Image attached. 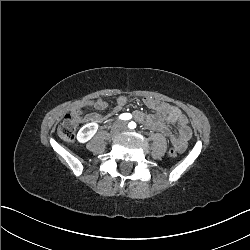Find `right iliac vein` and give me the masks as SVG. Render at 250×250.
<instances>
[{
  "instance_id": "obj_1",
  "label": "right iliac vein",
  "mask_w": 250,
  "mask_h": 250,
  "mask_svg": "<svg viewBox=\"0 0 250 250\" xmlns=\"http://www.w3.org/2000/svg\"><path fill=\"white\" fill-rule=\"evenodd\" d=\"M117 133H118V131L115 130V129H113V130L111 131L110 137L115 136Z\"/></svg>"
}]
</instances>
